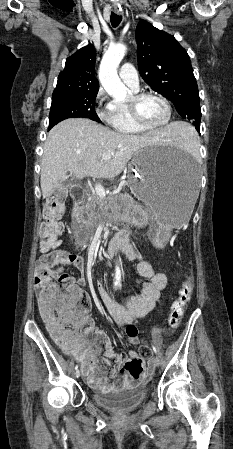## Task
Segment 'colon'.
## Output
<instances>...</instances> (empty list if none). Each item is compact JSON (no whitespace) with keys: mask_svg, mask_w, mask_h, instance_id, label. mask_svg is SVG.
<instances>
[{"mask_svg":"<svg viewBox=\"0 0 233 449\" xmlns=\"http://www.w3.org/2000/svg\"><path fill=\"white\" fill-rule=\"evenodd\" d=\"M65 199V193H56L49 196L45 204V222L41 230L45 255L39 258L35 273V280L39 287V308L55 343L65 344L70 339L84 337L87 345L98 346L103 337L92 330V320L88 315L90 302L87 294L75 286L68 275L50 271L52 260L57 257L55 248L59 244L58 237L62 231L60 219L64 211ZM193 289V276L188 274L167 317V328L170 333L177 330L191 300ZM88 334L90 337H85ZM150 355V346L143 342L137 354L129 355L120 363L118 375H141L144 359Z\"/></svg>","mask_w":233,"mask_h":449,"instance_id":"5ec220e1","label":"colon"}]
</instances>
